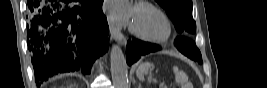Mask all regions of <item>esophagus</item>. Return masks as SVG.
Wrapping results in <instances>:
<instances>
[{"mask_svg":"<svg viewBox=\"0 0 267 88\" xmlns=\"http://www.w3.org/2000/svg\"><path fill=\"white\" fill-rule=\"evenodd\" d=\"M108 25H109V30L111 35L113 36V38L121 45V46H125L126 45V39L124 37V35L122 34V32L117 29L115 27V25L111 22L108 21Z\"/></svg>","mask_w":267,"mask_h":88,"instance_id":"esophagus-1","label":"esophagus"}]
</instances>
